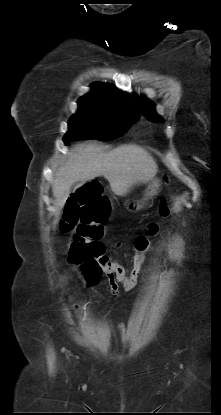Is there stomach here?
Segmentation results:
<instances>
[{
	"label": "stomach",
	"instance_id": "obj_1",
	"mask_svg": "<svg viewBox=\"0 0 221 415\" xmlns=\"http://www.w3.org/2000/svg\"><path fill=\"white\" fill-rule=\"evenodd\" d=\"M159 186H160L159 180L153 179L145 192L144 200H148L152 198L157 193ZM140 208H142V204H140V202H128L127 204V209L129 211L139 210Z\"/></svg>",
	"mask_w": 221,
	"mask_h": 415
}]
</instances>
